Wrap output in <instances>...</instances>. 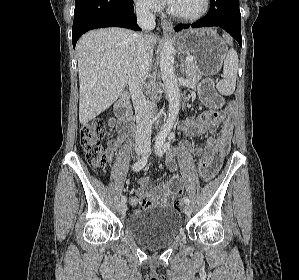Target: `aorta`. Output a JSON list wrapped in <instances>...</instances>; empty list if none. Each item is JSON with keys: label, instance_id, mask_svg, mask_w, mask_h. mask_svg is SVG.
I'll list each match as a JSON object with an SVG mask.
<instances>
[{"label": "aorta", "instance_id": "1", "mask_svg": "<svg viewBox=\"0 0 299 280\" xmlns=\"http://www.w3.org/2000/svg\"><path fill=\"white\" fill-rule=\"evenodd\" d=\"M159 63L161 77L166 87L169 101L168 119L163 125L160 133L157 135V139L163 140L171 131L180 107L179 87L174 73V47L172 41L169 39L164 42L163 48L160 53Z\"/></svg>", "mask_w": 299, "mask_h": 280}]
</instances>
